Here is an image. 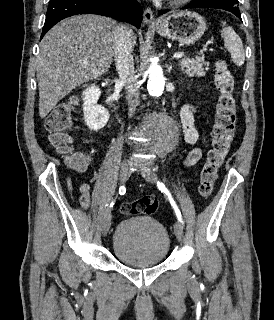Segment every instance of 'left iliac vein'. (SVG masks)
Here are the masks:
<instances>
[{"instance_id":"obj_1","label":"left iliac vein","mask_w":274,"mask_h":320,"mask_svg":"<svg viewBox=\"0 0 274 320\" xmlns=\"http://www.w3.org/2000/svg\"><path fill=\"white\" fill-rule=\"evenodd\" d=\"M141 175L148 182H151V183L157 182V179H158L157 174L152 170H142ZM174 233H175L178 241L182 242L183 237H184V231H183V226L179 221L175 222V224H174Z\"/></svg>"}]
</instances>
